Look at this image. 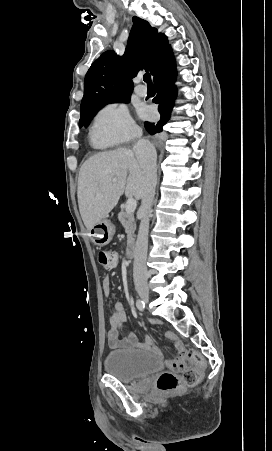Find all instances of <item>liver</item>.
I'll use <instances>...</instances> for the list:
<instances>
[{
    "label": "liver",
    "instance_id": "liver-1",
    "mask_svg": "<svg viewBox=\"0 0 272 451\" xmlns=\"http://www.w3.org/2000/svg\"><path fill=\"white\" fill-rule=\"evenodd\" d=\"M144 186V170L129 148L91 156L81 166L78 178L77 196L84 226L91 229L106 218L122 194L141 200Z\"/></svg>",
    "mask_w": 272,
    "mask_h": 451
}]
</instances>
